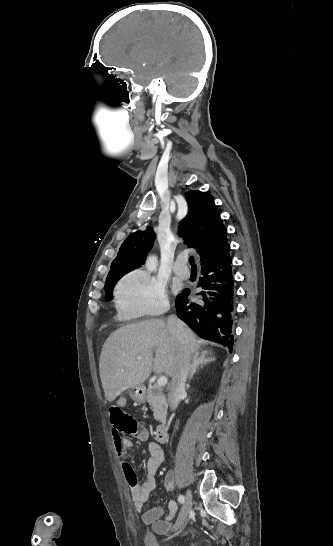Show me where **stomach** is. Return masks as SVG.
<instances>
[{
	"label": "stomach",
	"instance_id": "obj_1",
	"mask_svg": "<svg viewBox=\"0 0 333 546\" xmlns=\"http://www.w3.org/2000/svg\"><path fill=\"white\" fill-rule=\"evenodd\" d=\"M131 399L137 403H144L146 400L145 387L143 385L134 386L129 390Z\"/></svg>",
	"mask_w": 333,
	"mask_h": 546
}]
</instances>
